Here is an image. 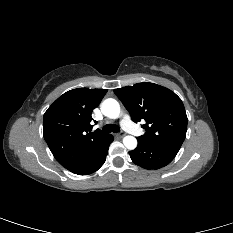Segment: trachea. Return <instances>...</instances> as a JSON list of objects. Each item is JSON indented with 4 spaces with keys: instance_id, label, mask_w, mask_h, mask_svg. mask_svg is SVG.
Returning <instances> with one entry per match:
<instances>
[{
    "instance_id": "1",
    "label": "trachea",
    "mask_w": 233,
    "mask_h": 233,
    "mask_svg": "<svg viewBox=\"0 0 233 233\" xmlns=\"http://www.w3.org/2000/svg\"><path fill=\"white\" fill-rule=\"evenodd\" d=\"M120 128L117 125L114 124H106L103 128L104 133H110V132H119Z\"/></svg>"
}]
</instances>
